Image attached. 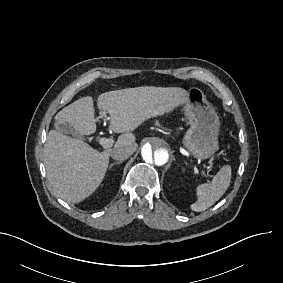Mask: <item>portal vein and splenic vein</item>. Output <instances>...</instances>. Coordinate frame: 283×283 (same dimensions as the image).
Listing matches in <instances>:
<instances>
[{
	"mask_svg": "<svg viewBox=\"0 0 283 283\" xmlns=\"http://www.w3.org/2000/svg\"><path fill=\"white\" fill-rule=\"evenodd\" d=\"M108 119L109 118L107 116H104L102 118V120H104V121H107ZM99 143L102 145L103 149H108L113 145V140L107 139L106 137H102V138H100ZM201 174L205 176L206 181L208 182L209 181L208 176L203 171L201 172ZM212 177L214 178L215 176L213 175Z\"/></svg>",
	"mask_w": 283,
	"mask_h": 283,
	"instance_id": "obj_1",
	"label": "portal vein and splenic vein"
}]
</instances>
